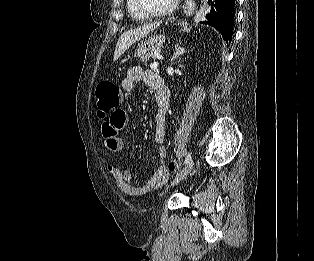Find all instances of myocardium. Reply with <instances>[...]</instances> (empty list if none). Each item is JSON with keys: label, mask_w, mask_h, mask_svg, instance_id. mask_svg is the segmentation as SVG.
<instances>
[{"label": "myocardium", "mask_w": 314, "mask_h": 261, "mask_svg": "<svg viewBox=\"0 0 314 261\" xmlns=\"http://www.w3.org/2000/svg\"><path fill=\"white\" fill-rule=\"evenodd\" d=\"M180 0H173L172 4L163 10L149 8L143 0H135L138 10L148 17H165L170 15L178 6Z\"/></svg>", "instance_id": "f54148a6"}]
</instances>
